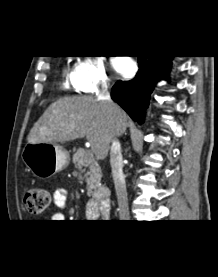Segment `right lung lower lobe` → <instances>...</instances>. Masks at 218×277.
I'll return each instance as SVG.
<instances>
[{
  "instance_id": "98d812e1",
  "label": "right lung lower lobe",
  "mask_w": 218,
  "mask_h": 277,
  "mask_svg": "<svg viewBox=\"0 0 218 277\" xmlns=\"http://www.w3.org/2000/svg\"><path fill=\"white\" fill-rule=\"evenodd\" d=\"M172 57L138 56L139 70L135 78L127 82H117L112 88V99L140 124L144 122V113L156 82L168 76Z\"/></svg>"
}]
</instances>
